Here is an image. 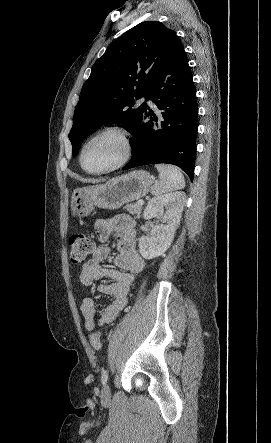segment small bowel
Segmentation results:
<instances>
[{"instance_id":"obj_1","label":"small bowel","mask_w":271,"mask_h":443,"mask_svg":"<svg viewBox=\"0 0 271 443\" xmlns=\"http://www.w3.org/2000/svg\"><path fill=\"white\" fill-rule=\"evenodd\" d=\"M98 239L107 243L113 237L117 238L118 254L115 264L118 268L104 267L102 263L110 255V247L99 246L92 258L83 266L80 281L89 286L98 279L107 278L111 283H102L97 290L111 298V301L102 308L98 325L103 326L116 319L126 304L127 294L134 280L144 265V261L136 250L135 222L128 215H119L112 220H100L95 226ZM85 319V327L92 330L95 326L96 304L91 298H84L80 306Z\"/></svg>"}]
</instances>
